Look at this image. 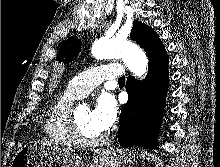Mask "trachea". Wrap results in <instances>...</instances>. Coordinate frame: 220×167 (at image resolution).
I'll use <instances>...</instances> for the list:
<instances>
[{"mask_svg": "<svg viewBox=\"0 0 220 167\" xmlns=\"http://www.w3.org/2000/svg\"><path fill=\"white\" fill-rule=\"evenodd\" d=\"M119 84H124L125 83V77H121L118 81Z\"/></svg>", "mask_w": 220, "mask_h": 167, "instance_id": "obj_1", "label": "trachea"}]
</instances>
